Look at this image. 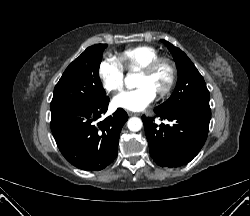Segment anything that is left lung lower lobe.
Listing matches in <instances>:
<instances>
[{
    "mask_svg": "<svg viewBox=\"0 0 250 216\" xmlns=\"http://www.w3.org/2000/svg\"><path fill=\"white\" fill-rule=\"evenodd\" d=\"M154 111V117L142 116L151 157L161 167L187 164L206 141L211 115L196 109ZM156 117L162 122H155Z\"/></svg>",
    "mask_w": 250,
    "mask_h": 216,
    "instance_id": "obj_1",
    "label": "left lung lower lobe"
}]
</instances>
